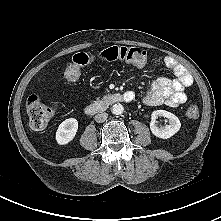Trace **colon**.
I'll return each instance as SVG.
<instances>
[{
    "label": "colon",
    "instance_id": "1",
    "mask_svg": "<svg viewBox=\"0 0 221 221\" xmlns=\"http://www.w3.org/2000/svg\"><path fill=\"white\" fill-rule=\"evenodd\" d=\"M96 60L107 62L125 61L136 66H143L147 63V54L137 47L112 46L97 54L78 52L73 55L64 72V79L67 82H75L81 75V68L93 63ZM57 110L54 102L43 101L38 95L33 94L27 100V112L30 126L34 130L44 129ZM185 116L190 120L199 117V109L190 105L185 110Z\"/></svg>",
    "mask_w": 221,
    "mask_h": 221
}]
</instances>
